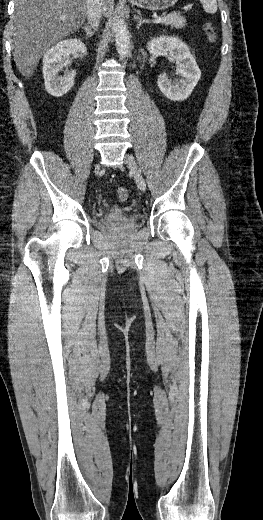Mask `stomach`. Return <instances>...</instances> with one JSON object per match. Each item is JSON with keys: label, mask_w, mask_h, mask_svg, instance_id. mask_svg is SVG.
<instances>
[{"label": "stomach", "mask_w": 263, "mask_h": 520, "mask_svg": "<svg viewBox=\"0 0 263 520\" xmlns=\"http://www.w3.org/2000/svg\"><path fill=\"white\" fill-rule=\"evenodd\" d=\"M132 5L149 10H165L173 6L178 0H128Z\"/></svg>", "instance_id": "obj_1"}]
</instances>
